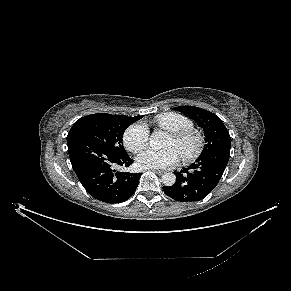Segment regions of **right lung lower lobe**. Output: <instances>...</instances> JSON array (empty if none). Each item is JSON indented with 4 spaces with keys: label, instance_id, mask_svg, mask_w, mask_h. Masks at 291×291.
<instances>
[{
    "label": "right lung lower lobe",
    "instance_id": "1",
    "mask_svg": "<svg viewBox=\"0 0 291 291\" xmlns=\"http://www.w3.org/2000/svg\"><path fill=\"white\" fill-rule=\"evenodd\" d=\"M67 145L72 167L92 197L106 203H120L134 194L141 174L116 171L133 163L128 154L120 155L83 139Z\"/></svg>",
    "mask_w": 291,
    "mask_h": 291
}]
</instances>
